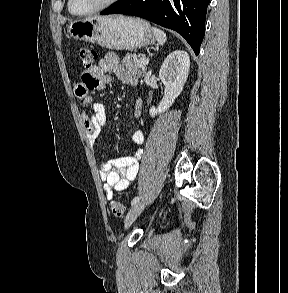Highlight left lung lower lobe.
<instances>
[{"instance_id": "1", "label": "left lung lower lobe", "mask_w": 288, "mask_h": 293, "mask_svg": "<svg viewBox=\"0 0 288 293\" xmlns=\"http://www.w3.org/2000/svg\"><path fill=\"white\" fill-rule=\"evenodd\" d=\"M208 4L209 0H119L100 14L134 15L175 30L198 55Z\"/></svg>"}]
</instances>
